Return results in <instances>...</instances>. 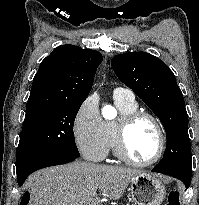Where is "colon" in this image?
Here are the masks:
<instances>
[{
  "mask_svg": "<svg viewBox=\"0 0 199 205\" xmlns=\"http://www.w3.org/2000/svg\"><path fill=\"white\" fill-rule=\"evenodd\" d=\"M181 204V197L180 192L178 190H171L167 196L166 205H180Z\"/></svg>",
  "mask_w": 199,
  "mask_h": 205,
  "instance_id": "obj_1",
  "label": "colon"
}]
</instances>
